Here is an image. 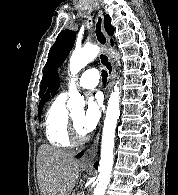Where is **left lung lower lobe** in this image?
<instances>
[{
  "label": "left lung lower lobe",
  "mask_w": 178,
  "mask_h": 195,
  "mask_svg": "<svg viewBox=\"0 0 178 195\" xmlns=\"http://www.w3.org/2000/svg\"><path fill=\"white\" fill-rule=\"evenodd\" d=\"M83 154H84V151H82L81 153H79V154L77 155V157H81Z\"/></svg>",
  "instance_id": "0a47b994"
}]
</instances>
